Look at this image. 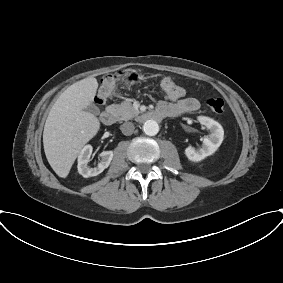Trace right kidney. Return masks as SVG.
<instances>
[{
  "label": "right kidney",
  "instance_id": "obj_1",
  "mask_svg": "<svg viewBox=\"0 0 283 283\" xmlns=\"http://www.w3.org/2000/svg\"><path fill=\"white\" fill-rule=\"evenodd\" d=\"M92 150L93 148L91 145H86L78 156V172L84 178L97 176L98 174L102 173L106 168H108L113 158V151H103L100 154V163L96 167L90 168L88 166V162L90 161Z\"/></svg>",
  "mask_w": 283,
  "mask_h": 283
}]
</instances>
